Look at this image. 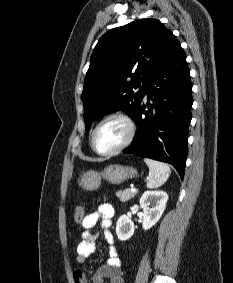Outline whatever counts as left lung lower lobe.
I'll return each instance as SVG.
<instances>
[{"mask_svg": "<svg viewBox=\"0 0 233 283\" xmlns=\"http://www.w3.org/2000/svg\"><path fill=\"white\" fill-rule=\"evenodd\" d=\"M189 74L186 55L177 43L146 82L147 105L142 102L135 114L138 130L130 147L123 152L170 163L181 179L193 103Z\"/></svg>", "mask_w": 233, "mask_h": 283, "instance_id": "left-lung-lower-lobe-1", "label": "left lung lower lobe"}]
</instances>
